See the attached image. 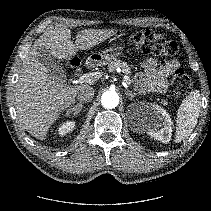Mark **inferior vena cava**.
<instances>
[{"instance_id":"1","label":"inferior vena cava","mask_w":211,"mask_h":211,"mask_svg":"<svg viewBox=\"0 0 211 211\" xmlns=\"http://www.w3.org/2000/svg\"><path fill=\"white\" fill-rule=\"evenodd\" d=\"M95 90L92 87L82 89L77 96L80 102H90L94 97Z\"/></svg>"}]
</instances>
